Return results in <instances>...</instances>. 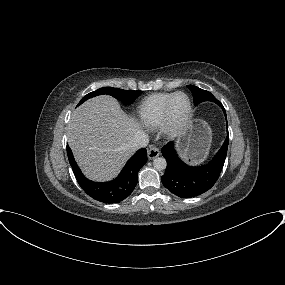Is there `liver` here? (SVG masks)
Wrapping results in <instances>:
<instances>
[{
    "mask_svg": "<svg viewBox=\"0 0 285 285\" xmlns=\"http://www.w3.org/2000/svg\"><path fill=\"white\" fill-rule=\"evenodd\" d=\"M140 125L108 95L91 98L75 109L67 126L68 144L85 176L108 181L133 154L129 144Z\"/></svg>",
    "mask_w": 285,
    "mask_h": 285,
    "instance_id": "obj_1",
    "label": "liver"
}]
</instances>
